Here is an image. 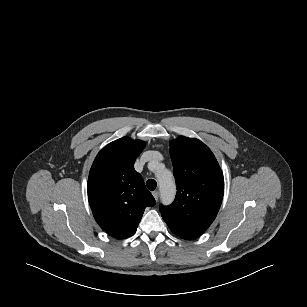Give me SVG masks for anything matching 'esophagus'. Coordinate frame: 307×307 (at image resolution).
I'll return each mask as SVG.
<instances>
[{"instance_id":"obj_1","label":"esophagus","mask_w":307,"mask_h":307,"mask_svg":"<svg viewBox=\"0 0 307 307\" xmlns=\"http://www.w3.org/2000/svg\"><path fill=\"white\" fill-rule=\"evenodd\" d=\"M152 195L154 196L155 200L157 201L159 198V192L158 191H154L152 192Z\"/></svg>"}]
</instances>
